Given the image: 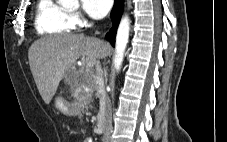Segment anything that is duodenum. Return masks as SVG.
<instances>
[{"label":"duodenum","instance_id":"duodenum-1","mask_svg":"<svg viewBox=\"0 0 227 142\" xmlns=\"http://www.w3.org/2000/svg\"><path fill=\"white\" fill-rule=\"evenodd\" d=\"M104 117H105V111H101V113L99 114L98 120L94 125V132L95 133H101L103 126H104Z\"/></svg>","mask_w":227,"mask_h":142}]
</instances>
